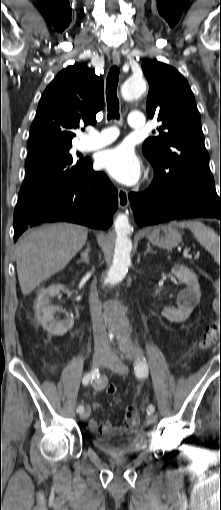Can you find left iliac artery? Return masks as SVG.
<instances>
[{
	"mask_svg": "<svg viewBox=\"0 0 221 510\" xmlns=\"http://www.w3.org/2000/svg\"><path fill=\"white\" fill-rule=\"evenodd\" d=\"M134 372H135V375L140 378L146 377L148 375V366H147L146 360L143 357H139L135 361ZM154 411H155L154 405L150 404L147 407V413L151 414Z\"/></svg>",
	"mask_w": 221,
	"mask_h": 510,
	"instance_id": "44dca946",
	"label": "left iliac artery"
}]
</instances>
